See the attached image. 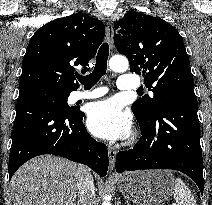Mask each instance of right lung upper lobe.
<instances>
[{
    "mask_svg": "<svg viewBox=\"0 0 212 205\" xmlns=\"http://www.w3.org/2000/svg\"><path fill=\"white\" fill-rule=\"evenodd\" d=\"M104 24L83 13L53 20L32 36L23 59L20 96L41 90L70 93L79 86L74 66L87 71L105 34Z\"/></svg>",
    "mask_w": 212,
    "mask_h": 205,
    "instance_id": "right-lung-upper-lobe-1",
    "label": "right lung upper lobe"
}]
</instances>
